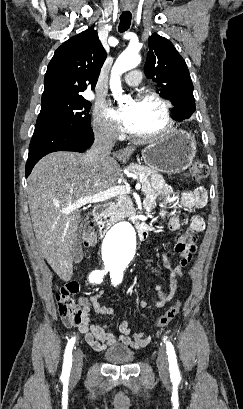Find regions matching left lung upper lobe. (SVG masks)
Instances as JSON below:
<instances>
[{"mask_svg":"<svg viewBox=\"0 0 243 409\" xmlns=\"http://www.w3.org/2000/svg\"><path fill=\"white\" fill-rule=\"evenodd\" d=\"M144 72L174 105V117L189 118L195 111L193 84L182 56L166 38L152 34Z\"/></svg>","mask_w":243,"mask_h":409,"instance_id":"left-lung-upper-lobe-1","label":"left lung upper lobe"}]
</instances>
